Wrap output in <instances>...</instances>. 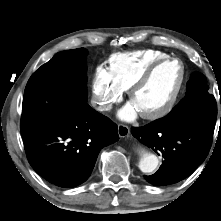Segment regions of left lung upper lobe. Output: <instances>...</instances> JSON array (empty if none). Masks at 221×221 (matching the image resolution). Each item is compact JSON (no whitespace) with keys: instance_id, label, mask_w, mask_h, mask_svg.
Listing matches in <instances>:
<instances>
[{"instance_id":"5c2ea615","label":"left lung upper lobe","mask_w":221,"mask_h":221,"mask_svg":"<svg viewBox=\"0 0 221 221\" xmlns=\"http://www.w3.org/2000/svg\"><path fill=\"white\" fill-rule=\"evenodd\" d=\"M206 78L194 73L187 83V92L182 101L165 117L157 121L162 125L182 123H203L215 125L217 105L213 95L208 93Z\"/></svg>"}]
</instances>
